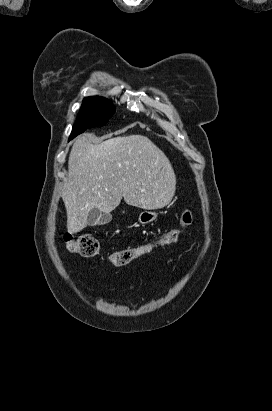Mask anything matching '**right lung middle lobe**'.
<instances>
[{
	"instance_id": "right-lung-middle-lobe-1",
	"label": "right lung middle lobe",
	"mask_w": 272,
	"mask_h": 411,
	"mask_svg": "<svg viewBox=\"0 0 272 411\" xmlns=\"http://www.w3.org/2000/svg\"><path fill=\"white\" fill-rule=\"evenodd\" d=\"M115 112V106L103 97H86L76 118L71 139L88 128L104 125Z\"/></svg>"
}]
</instances>
